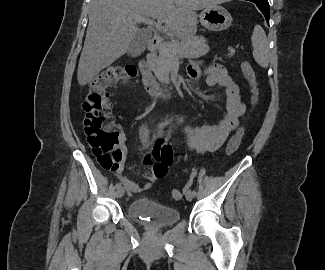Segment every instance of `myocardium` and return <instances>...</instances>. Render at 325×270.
<instances>
[{
  "instance_id": "obj_1",
  "label": "myocardium",
  "mask_w": 325,
  "mask_h": 270,
  "mask_svg": "<svg viewBox=\"0 0 325 270\" xmlns=\"http://www.w3.org/2000/svg\"><path fill=\"white\" fill-rule=\"evenodd\" d=\"M215 2H224V1H229V0H213Z\"/></svg>"
}]
</instances>
